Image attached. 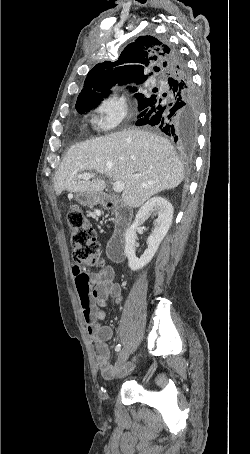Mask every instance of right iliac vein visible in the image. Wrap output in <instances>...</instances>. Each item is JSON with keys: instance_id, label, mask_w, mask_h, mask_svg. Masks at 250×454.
<instances>
[{"instance_id": "obj_1", "label": "right iliac vein", "mask_w": 250, "mask_h": 454, "mask_svg": "<svg viewBox=\"0 0 250 454\" xmlns=\"http://www.w3.org/2000/svg\"><path fill=\"white\" fill-rule=\"evenodd\" d=\"M128 356H129V353H128L127 348H123L118 355V360L120 362L124 363L128 359Z\"/></svg>"}]
</instances>
